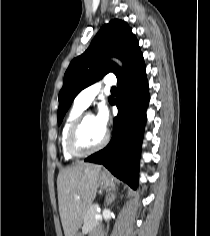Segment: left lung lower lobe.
Instances as JSON below:
<instances>
[{
    "label": "left lung lower lobe",
    "mask_w": 210,
    "mask_h": 236,
    "mask_svg": "<svg viewBox=\"0 0 210 236\" xmlns=\"http://www.w3.org/2000/svg\"><path fill=\"white\" fill-rule=\"evenodd\" d=\"M118 95L111 104L118 108L110 143L85 161L103 164L111 173L129 184L138 185L139 157L146 109L149 103L146 66L143 63L129 76L117 82Z\"/></svg>",
    "instance_id": "obj_1"
}]
</instances>
